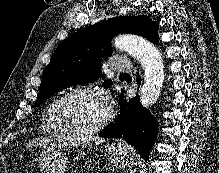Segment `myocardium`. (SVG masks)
Masks as SVG:
<instances>
[{"label": "myocardium", "instance_id": "myocardium-1", "mask_svg": "<svg viewBox=\"0 0 219 173\" xmlns=\"http://www.w3.org/2000/svg\"><path fill=\"white\" fill-rule=\"evenodd\" d=\"M81 93H90V94H95L99 96L105 102L106 107H107V112L104 118L97 125L87 128V129H76V128L70 127L66 123L64 116H63L64 106L66 102L68 101V99L74 95L81 94ZM113 115H114V112L112 108L109 106L103 91L100 88L96 86H91V85L78 86V87H75L67 91L59 98V100L57 101L56 107H55V119H56L58 126L66 134L70 136H75V137L90 136V135H94L102 131L104 128L108 126V124L113 118Z\"/></svg>", "mask_w": 219, "mask_h": 173}]
</instances>
